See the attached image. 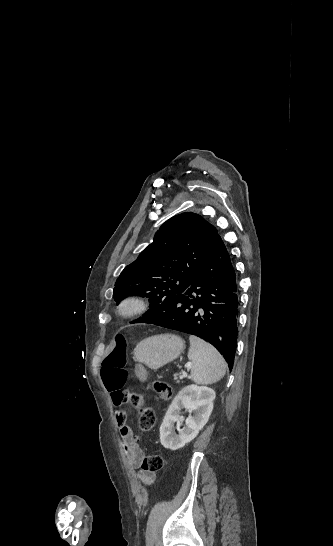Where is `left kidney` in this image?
<instances>
[{"mask_svg":"<svg viewBox=\"0 0 333 546\" xmlns=\"http://www.w3.org/2000/svg\"><path fill=\"white\" fill-rule=\"evenodd\" d=\"M215 391L205 386L194 384L182 388L169 406L160 426L161 444L171 450H178L192 441L208 422L213 410ZM194 412L193 417L186 419V426L180 429L184 421L181 411ZM177 423L179 434L174 432Z\"/></svg>","mask_w":333,"mask_h":546,"instance_id":"left-kidney-1","label":"left kidney"}]
</instances>
